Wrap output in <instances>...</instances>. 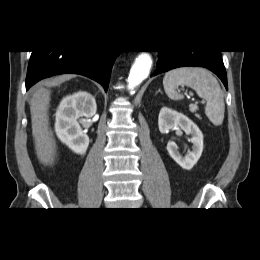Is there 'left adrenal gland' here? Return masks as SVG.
<instances>
[{
    "mask_svg": "<svg viewBox=\"0 0 260 260\" xmlns=\"http://www.w3.org/2000/svg\"><path fill=\"white\" fill-rule=\"evenodd\" d=\"M157 93H162L161 89H159V90L157 91Z\"/></svg>",
    "mask_w": 260,
    "mask_h": 260,
    "instance_id": "a2214340",
    "label": "left adrenal gland"
}]
</instances>
